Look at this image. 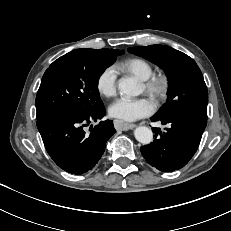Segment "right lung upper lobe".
Instances as JSON below:
<instances>
[{"label":"right lung upper lobe","mask_w":231,"mask_h":231,"mask_svg":"<svg viewBox=\"0 0 231 231\" xmlns=\"http://www.w3.org/2000/svg\"><path fill=\"white\" fill-rule=\"evenodd\" d=\"M100 51L106 53L107 55H110V56H118V55H122L124 54V51L122 50H113V49H100Z\"/></svg>","instance_id":"cb5924a9"}]
</instances>
